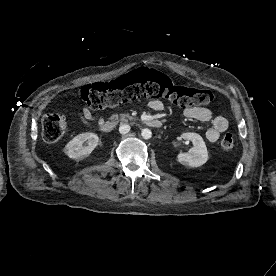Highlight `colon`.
Listing matches in <instances>:
<instances>
[{
    "label": "colon",
    "mask_w": 276,
    "mask_h": 276,
    "mask_svg": "<svg viewBox=\"0 0 276 276\" xmlns=\"http://www.w3.org/2000/svg\"><path fill=\"white\" fill-rule=\"evenodd\" d=\"M82 100L92 109L114 107L118 104L138 99L163 98L176 106H204L211 103L212 93L207 89H197L176 85L167 75L155 69L141 67L109 83H94L80 91ZM66 120L54 113L42 119V135L46 142L59 140L66 132ZM223 151H232L235 139L231 133L220 142Z\"/></svg>",
    "instance_id": "obj_1"
}]
</instances>
